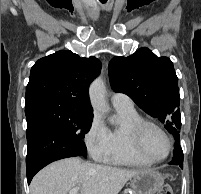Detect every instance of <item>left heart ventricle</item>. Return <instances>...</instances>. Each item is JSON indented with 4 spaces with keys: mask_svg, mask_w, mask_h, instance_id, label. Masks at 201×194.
I'll return each mask as SVG.
<instances>
[{
    "mask_svg": "<svg viewBox=\"0 0 201 194\" xmlns=\"http://www.w3.org/2000/svg\"><path fill=\"white\" fill-rule=\"evenodd\" d=\"M143 148L153 158H161L168 151L166 138L157 129L148 127L143 135Z\"/></svg>",
    "mask_w": 201,
    "mask_h": 194,
    "instance_id": "1",
    "label": "left heart ventricle"
}]
</instances>
